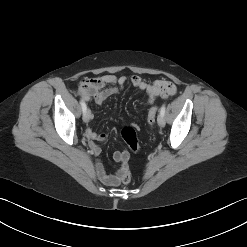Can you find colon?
Returning <instances> with one entry per match:
<instances>
[{
  "instance_id": "5ec220e1",
  "label": "colon",
  "mask_w": 247,
  "mask_h": 247,
  "mask_svg": "<svg viewBox=\"0 0 247 247\" xmlns=\"http://www.w3.org/2000/svg\"><path fill=\"white\" fill-rule=\"evenodd\" d=\"M157 112H158L157 107H151L150 108V110L148 112V116H147L149 124L152 125L155 123ZM136 128H137L136 125H132V126H127V127L123 128L121 131L122 139L126 142L128 147L132 151H138L139 150V142H138V138H137V134H136ZM123 153L126 154V152H123ZM130 181H131L130 172L126 171L121 176V182L123 184H128V183H130Z\"/></svg>"
}]
</instances>
